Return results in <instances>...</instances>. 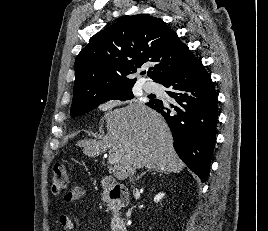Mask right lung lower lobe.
I'll return each instance as SVG.
<instances>
[{
  "label": "right lung lower lobe",
  "instance_id": "right-lung-lower-lobe-1",
  "mask_svg": "<svg viewBox=\"0 0 268 231\" xmlns=\"http://www.w3.org/2000/svg\"><path fill=\"white\" fill-rule=\"evenodd\" d=\"M166 93L175 100L168 104L151 100L147 105L166 120L181 160L202 182L207 180L216 138L217 94L201 61L165 79Z\"/></svg>",
  "mask_w": 268,
  "mask_h": 231
}]
</instances>
